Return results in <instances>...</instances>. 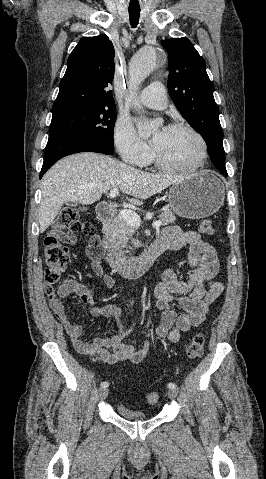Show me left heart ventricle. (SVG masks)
<instances>
[{
    "label": "left heart ventricle",
    "mask_w": 266,
    "mask_h": 479,
    "mask_svg": "<svg viewBox=\"0 0 266 479\" xmlns=\"http://www.w3.org/2000/svg\"><path fill=\"white\" fill-rule=\"evenodd\" d=\"M154 139L156 152L168 164L189 165L199 157V143L188 131L163 129L155 133Z\"/></svg>",
    "instance_id": "b2bd125f"
}]
</instances>
